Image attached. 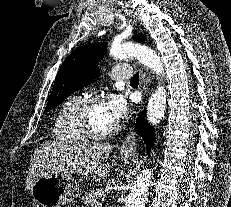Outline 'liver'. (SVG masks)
<instances>
[{
  "label": "liver",
  "instance_id": "obj_1",
  "mask_svg": "<svg viewBox=\"0 0 231 207\" xmlns=\"http://www.w3.org/2000/svg\"><path fill=\"white\" fill-rule=\"evenodd\" d=\"M112 149L108 144L45 143L31 158L26 190H30L39 177L61 171L85 176L93 174L95 181H100L109 173L110 165L103 160Z\"/></svg>",
  "mask_w": 231,
  "mask_h": 207
}]
</instances>
